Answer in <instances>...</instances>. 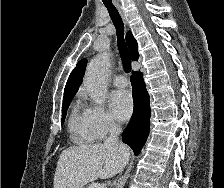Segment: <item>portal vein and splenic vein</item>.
Instances as JSON below:
<instances>
[{
    "label": "portal vein and splenic vein",
    "instance_id": "1",
    "mask_svg": "<svg viewBox=\"0 0 224 188\" xmlns=\"http://www.w3.org/2000/svg\"><path fill=\"white\" fill-rule=\"evenodd\" d=\"M91 188H105V185L100 183H94L91 185Z\"/></svg>",
    "mask_w": 224,
    "mask_h": 188
}]
</instances>
